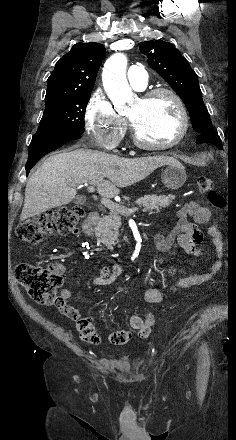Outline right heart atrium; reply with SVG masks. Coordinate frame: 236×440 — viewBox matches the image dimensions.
<instances>
[{"instance_id":"d8ad5b80","label":"right heart atrium","mask_w":236,"mask_h":440,"mask_svg":"<svg viewBox=\"0 0 236 440\" xmlns=\"http://www.w3.org/2000/svg\"><path fill=\"white\" fill-rule=\"evenodd\" d=\"M85 129L100 148L114 151L126 133V120L114 109L101 89L90 96L84 111Z\"/></svg>"}]
</instances>
